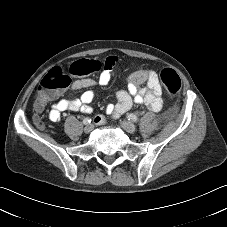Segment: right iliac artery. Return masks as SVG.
Masks as SVG:
<instances>
[{"label": "right iliac artery", "mask_w": 227, "mask_h": 227, "mask_svg": "<svg viewBox=\"0 0 227 227\" xmlns=\"http://www.w3.org/2000/svg\"><path fill=\"white\" fill-rule=\"evenodd\" d=\"M83 123H84L85 125H87V124L91 123V119H90V118H85V119L83 120Z\"/></svg>", "instance_id": "right-iliac-artery-1"}]
</instances>
